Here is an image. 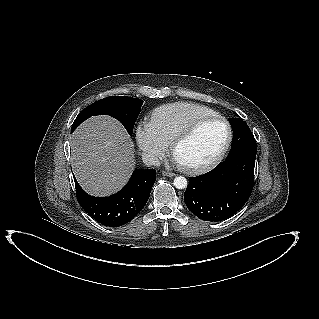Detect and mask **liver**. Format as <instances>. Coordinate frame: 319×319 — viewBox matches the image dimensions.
Masks as SVG:
<instances>
[{"label": "liver", "mask_w": 319, "mask_h": 319, "mask_svg": "<svg viewBox=\"0 0 319 319\" xmlns=\"http://www.w3.org/2000/svg\"><path fill=\"white\" fill-rule=\"evenodd\" d=\"M73 173L96 197L120 190L135 168L134 143L123 125L109 116L84 121L70 137Z\"/></svg>", "instance_id": "6515ba94"}]
</instances>
